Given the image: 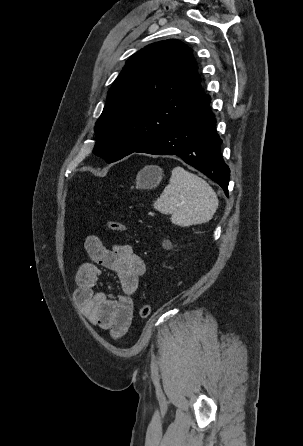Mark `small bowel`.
Here are the masks:
<instances>
[{
    "instance_id": "c3829d8e",
    "label": "small bowel",
    "mask_w": 303,
    "mask_h": 446,
    "mask_svg": "<svg viewBox=\"0 0 303 446\" xmlns=\"http://www.w3.org/2000/svg\"><path fill=\"white\" fill-rule=\"evenodd\" d=\"M84 249L89 260L76 273L73 298L91 324L122 337L132 322L133 295L145 272V264L131 245L116 243L107 248L95 235L85 238ZM100 268L116 273L121 290L117 297L98 290Z\"/></svg>"
}]
</instances>
